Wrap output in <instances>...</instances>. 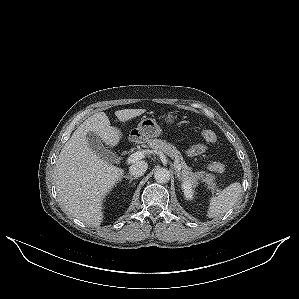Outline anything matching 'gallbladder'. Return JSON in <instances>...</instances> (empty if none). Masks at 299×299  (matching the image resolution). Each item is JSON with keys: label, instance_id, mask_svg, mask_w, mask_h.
<instances>
[{"label": "gallbladder", "instance_id": "obj_1", "mask_svg": "<svg viewBox=\"0 0 299 299\" xmlns=\"http://www.w3.org/2000/svg\"><path fill=\"white\" fill-rule=\"evenodd\" d=\"M86 138L89 148L100 158L108 162L116 160V155L104 147L100 137L96 133L90 131L87 133Z\"/></svg>", "mask_w": 299, "mask_h": 299}]
</instances>
